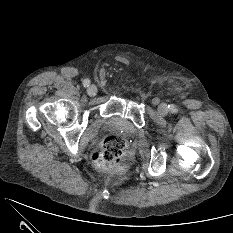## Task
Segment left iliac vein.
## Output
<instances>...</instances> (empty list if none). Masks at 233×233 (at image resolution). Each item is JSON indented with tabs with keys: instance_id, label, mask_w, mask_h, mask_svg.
<instances>
[{
	"instance_id": "left-iliac-vein-1",
	"label": "left iliac vein",
	"mask_w": 233,
	"mask_h": 233,
	"mask_svg": "<svg viewBox=\"0 0 233 233\" xmlns=\"http://www.w3.org/2000/svg\"><path fill=\"white\" fill-rule=\"evenodd\" d=\"M169 109L165 103H162L158 106V112L160 115L164 116L168 113Z\"/></svg>"
}]
</instances>
